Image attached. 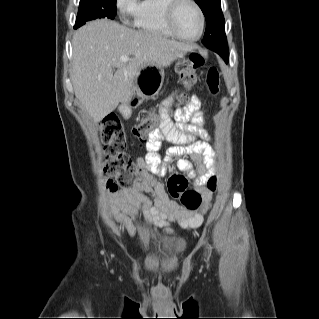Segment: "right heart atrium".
Wrapping results in <instances>:
<instances>
[{"instance_id":"obj_1","label":"right heart atrium","mask_w":319,"mask_h":319,"mask_svg":"<svg viewBox=\"0 0 319 319\" xmlns=\"http://www.w3.org/2000/svg\"><path fill=\"white\" fill-rule=\"evenodd\" d=\"M115 5L123 16H130L135 13L138 6V0H116Z\"/></svg>"}]
</instances>
